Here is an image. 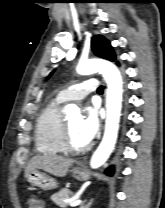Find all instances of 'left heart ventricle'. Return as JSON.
Masks as SVG:
<instances>
[{"instance_id": "1", "label": "left heart ventricle", "mask_w": 165, "mask_h": 208, "mask_svg": "<svg viewBox=\"0 0 165 208\" xmlns=\"http://www.w3.org/2000/svg\"><path fill=\"white\" fill-rule=\"evenodd\" d=\"M81 119L82 118L80 116H73L67 119L68 125L70 127L71 139L73 144L76 146H84L87 144L79 132Z\"/></svg>"}]
</instances>
